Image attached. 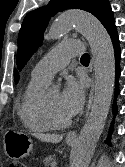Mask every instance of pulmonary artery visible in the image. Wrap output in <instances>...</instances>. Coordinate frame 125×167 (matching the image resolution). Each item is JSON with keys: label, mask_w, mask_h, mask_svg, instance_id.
<instances>
[{"label": "pulmonary artery", "mask_w": 125, "mask_h": 167, "mask_svg": "<svg viewBox=\"0 0 125 167\" xmlns=\"http://www.w3.org/2000/svg\"><path fill=\"white\" fill-rule=\"evenodd\" d=\"M81 52L82 42L78 40L62 42L36 64L31 75L33 78L48 82L57 71L69 63L72 57L78 56Z\"/></svg>", "instance_id": "pulmonary-artery-1"}]
</instances>
